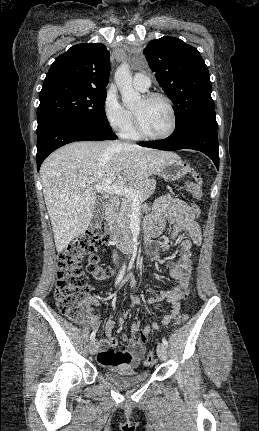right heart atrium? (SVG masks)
Here are the masks:
<instances>
[{
  "mask_svg": "<svg viewBox=\"0 0 259 431\" xmlns=\"http://www.w3.org/2000/svg\"><path fill=\"white\" fill-rule=\"evenodd\" d=\"M102 110L107 124L115 131H123L132 121V114L120 103L114 88L107 90Z\"/></svg>",
  "mask_w": 259,
  "mask_h": 431,
  "instance_id": "right-heart-atrium-1",
  "label": "right heart atrium"
}]
</instances>
